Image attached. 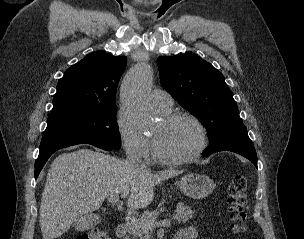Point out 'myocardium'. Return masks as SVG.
I'll use <instances>...</instances> for the list:
<instances>
[{
    "label": "myocardium",
    "mask_w": 304,
    "mask_h": 239,
    "mask_svg": "<svg viewBox=\"0 0 304 239\" xmlns=\"http://www.w3.org/2000/svg\"><path fill=\"white\" fill-rule=\"evenodd\" d=\"M179 119L191 121L198 129L199 144L197 148L189 155L180 158H170L162 156L156 148L155 141L152 138L153 158L155 161L165 165H183L198 159L208 146V132L202 121L192 113L185 111H175L163 115L162 120L165 123H171Z\"/></svg>",
    "instance_id": "myocardium-1"
}]
</instances>
